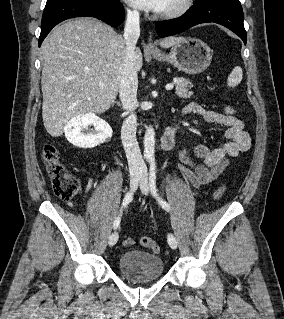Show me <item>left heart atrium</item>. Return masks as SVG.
I'll return each mask as SVG.
<instances>
[{
    "instance_id": "obj_1",
    "label": "left heart atrium",
    "mask_w": 284,
    "mask_h": 319,
    "mask_svg": "<svg viewBox=\"0 0 284 319\" xmlns=\"http://www.w3.org/2000/svg\"><path fill=\"white\" fill-rule=\"evenodd\" d=\"M127 1L139 9L160 12L163 9L166 0H127Z\"/></svg>"
}]
</instances>
